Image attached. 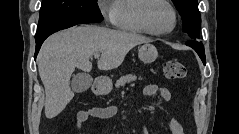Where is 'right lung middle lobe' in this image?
Returning a JSON list of instances; mask_svg holds the SVG:
<instances>
[{
    "mask_svg": "<svg viewBox=\"0 0 239 134\" xmlns=\"http://www.w3.org/2000/svg\"><path fill=\"white\" fill-rule=\"evenodd\" d=\"M97 0H43L35 37L73 21L101 22Z\"/></svg>",
    "mask_w": 239,
    "mask_h": 134,
    "instance_id": "right-lung-middle-lobe-1",
    "label": "right lung middle lobe"
}]
</instances>
